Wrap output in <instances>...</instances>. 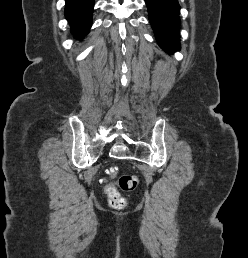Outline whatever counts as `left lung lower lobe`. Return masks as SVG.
<instances>
[{
	"label": "left lung lower lobe",
	"mask_w": 248,
	"mask_h": 258,
	"mask_svg": "<svg viewBox=\"0 0 248 258\" xmlns=\"http://www.w3.org/2000/svg\"><path fill=\"white\" fill-rule=\"evenodd\" d=\"M145 2L148 7L149 20L158 43L169 53L179 50L180 6L178 1L145 0Z\"/></svg>",
	"instance_id": "0a47b994"
}]
</instances>
